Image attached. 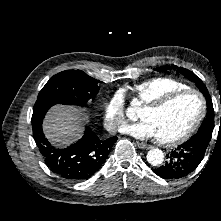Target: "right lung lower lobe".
<instances>
[{
  "instance_id": "obj_1",
  "label": "right lung lower lobe",
  "mask_w": 221,
  "mask_h": 221,
  "mask_svg": "<svg viewBox=\"0 0 221 221\" xmlns=\"http://www.w3.org/2000/svg\"><path fill=\"white\" fill-rule=\"evenodd\" d=\"M54 104L49 101L36 102L33 108V137L46 165L52 172L68 181L90 178L108 157L117 137L100 139L90 127L83 137L65 149L54 148L42 131L43 118Z\"/></svg>"
}]
</instances>
